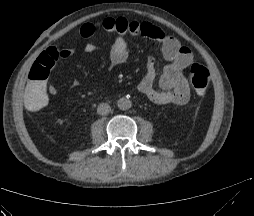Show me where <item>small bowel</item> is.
I'll use <instances>...</instances> for the list:
<instances>
[{
  "label": "small bowel",
  "instance_id": "c3829d8e",
  "mask_svg": "<svg viewBox=\"0 0 254 216\" xmlns=\"http://www.w3.org/2000/svg\"><path fill=\"white\" fill-rule=\"evenodd\" d=\"M101 27L105 31L114 32L116 36L109 46H101L95 43H87L82 47L85 52L108 50L111 65L120 66L128 58V47L125 41L126 35H140L161 44L162 53L167 60V65L157 79L154 63H148L146 74L138 85V91L148 100L158 105L174 104L184 105L190 99V88L183 70L193 61L190 48L182 45L178 39L166 34L161 28L148 23L125 18H107L100 24L84 23L79 30L83 38L94 36ZM59 60L66 59L77 52L76 48L59 47ZM157 80V87L155 81ZM29 81V80H28ZM48 89V96H55L57 88L51 81L44 82Z\"/></svg>",
  "mask_w": 254,
  "mask_h": 216
}]
</instances>
